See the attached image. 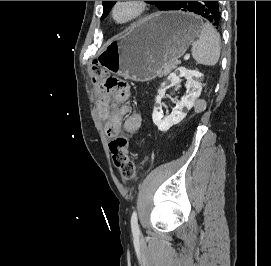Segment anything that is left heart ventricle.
<instances>
[{
    "instance_id": "obj_1",
    "label": "left heart ventricle",
    "mask_w": 271,
    "mask_h": 266,
    "mask_svg": "<svg viewBox=\"0 0 271 266\" xmlns=\"http://www.w3.org/2000/svg\"><path fill=\"white\" fill-rule=\"evenodd\" d=\"M133 11V7L130 5H122L117 10V17L119 19L128 18Z\"/></svg>"
}]
</instances>
